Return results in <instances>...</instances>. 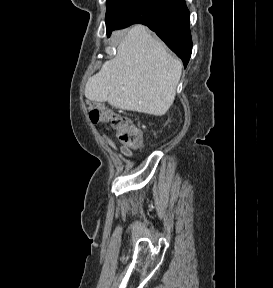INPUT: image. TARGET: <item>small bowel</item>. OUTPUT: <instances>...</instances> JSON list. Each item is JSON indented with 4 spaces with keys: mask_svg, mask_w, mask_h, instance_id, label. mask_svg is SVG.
<instances>
[{
    "mask_svg": "<svg viewBox=\"0 0 273 288\" xmlns=\"http://www.w3.org/2000/svg\"><path fill=\"white\" fill-rule=\"evenodd\" d=\"M122 152H123L125 155H130V151L127 150V149H123Z\"/></svg>",
    "mask_w": 273,
    "mask_h": 288,
    "instance_id": "obj_1",
    "label": "small bowel"
}]
</instances>
